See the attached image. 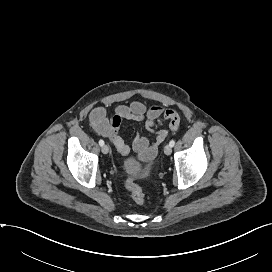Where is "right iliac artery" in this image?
Masks as SVG:
<instances>
[{"label":"right iliac artery","instance_id":"obj_1","mask_svg":"<svg viewBox=\"0 0 272 272\" xmlns=\"http://www.w3.org/2000/svg\"><path fill=\"white\" fill-rule=\"evenodd\" d=\"M99 145L103 146L104 145V141L102 139L99 140Z\"/></svg>","mask_w":272,"mask_h":272}]
</instances>
